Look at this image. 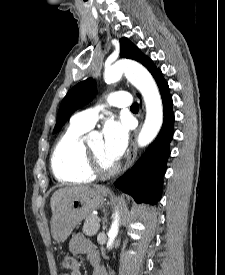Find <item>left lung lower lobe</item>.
Returning a JSON list of instances; mask_svg holds the SVG:
<instances>
[{
  "mask_svg": "<svg viewBox=\"0 0 225 275\" xmlns=\"http://www.w3.org/2000/svg\"><path fill=\"white\" fill-rule=\"evenodd\" d=\"M153 77L163 101L162 128L155 141L133 168L115 182L117 188L131 194L137 202L143 201L151 204H155L161 197L162 177L166 171V162L170 155L169 145L174 134L173 102L168 84L160 70Z\"/></svg>",
  "mask_w": 225,
  "mask_h": 275,
  "instance_id": "0a47b994",
  "label": "left lung lower lobe"
}]
</instances>
